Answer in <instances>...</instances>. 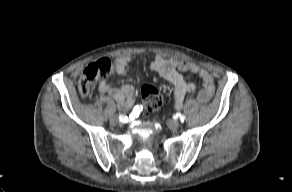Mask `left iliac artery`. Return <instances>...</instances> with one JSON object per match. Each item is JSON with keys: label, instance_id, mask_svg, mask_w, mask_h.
<instances>
[{"label": "left iliac artery", "instance_id": "obj_1", "mask_svg": "<svg viewBox=\"0 0 292 192\" xmlns=\"http://www.w3.org/2000/svg\"><path fill=\"white\" fill-rule=\"evenodd\" d=\"M179 119H180L181 122H184V121H185V116L182 115V114H180V115H179Z\"/></svg>", "mask_w": 292, "mask_h": 192}]
</instances>
